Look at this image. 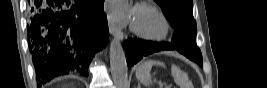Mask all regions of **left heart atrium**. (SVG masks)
<instances>
[{
    "label": "left heart atrium",
    "instance_id": "left-heart-atrium-1",
    "mask_svg": "<svg viewBox=\"0 0 267 88\" xmlns=\"http://www.w3.org/2000/svg\"><path fill=\"white\" fill-rule=\"evenodd\" d=\"M110 18L117 23H126L132 18V11L126 1L115 0L108 4Z\"/></svg>",
    "mask_w": 267,
    "mask_h": 88
}]
</instances>
